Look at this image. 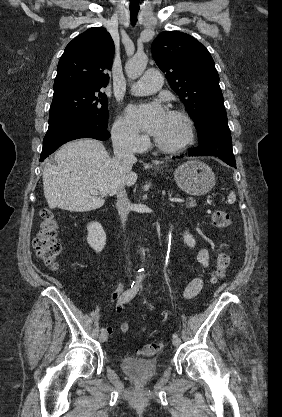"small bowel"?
I'll return each mask as SVG.
<instances>
[{
	"label": "small bowel",
	"mask_w": 282,
	"mask_h": 417,
	"mask_svg": "<svg viewBox=\"0 0 282 417\" xmlns=\"http://www.w3.org/2000/svg\"><path fill=\"white\" fill-rule=\"evenodd\" d=\"M197 263L201 267V274L197 277H194L188 285L182 291V297L184 299H192L196 297L204 286V275L207 272V269L210 265V255L207 249H200L196 256ZM124 291L123 285L118 284L117 288L111 295V300L115 303L116 312L119 315L120 320V331L123 334H126L129 331V325L126 318L123 316L124 306L120 301L121 295ZM106 333L110 334L112 332L110 327H106Z\"/></svg>",
	"instance_id": "small-bowel-1"
}]
</instances>
